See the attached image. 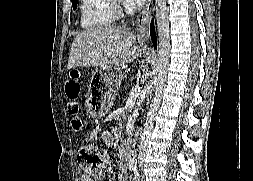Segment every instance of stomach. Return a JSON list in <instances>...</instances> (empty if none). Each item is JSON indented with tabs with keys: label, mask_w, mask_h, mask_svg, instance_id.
I'll list each match as a JSON object with an SVG mask.
<instances>
[{
	"label": "stomach",
	"mask_w": 253,
	"mask_h": 181,
	"mask_svg": "<svg viewBox=\"0 0 253 181\" xmlns=\"http://www.w3.org/2000/svg\"><path fill=\"white\" fill-rule=\"evenodd\" d=\"M124 77L123 67L104 69L98 67L89 85V98L86 108L92 119H98L107 114Z\"/></svg>",
	"instance_id": "0dacf381"
}]
</instances>
